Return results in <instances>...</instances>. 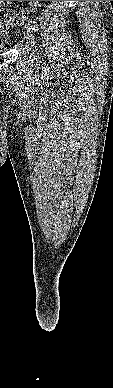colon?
<instances>
[{
    "label": "colon",
    "mask_w": 113,
    "mask_h": 388,
    "mask_svg": "<svg viewBox=\"0 0 113 388\" xmlns=\"http://www.w3.org/2000/svg\"><path fill=\"white\" fill-rule=\"evenodd\" d=\"M39 1H30V6L21 12L11 15V16H6L3 20L0 22V28L1 29H7L9 27L17 26L22 24L29 16L30 12L34 7L37 6Z\"/></svg>",
    "instance_id": "5ec220e1"
}]
</instances>
